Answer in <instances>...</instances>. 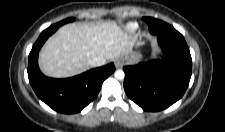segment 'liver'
<instances>
[{
	"mask_svg": "<svg viewBox=\"0 0 225 132\" xmlns=\"http://www.w3.org/2000/svg\"><path fill=\"white\" fill-rule=\"evenodd\" d=\"M134 44L135 39L115 21L70 23L46 41L39 53V66L46 76L71 77L87 71L96 57L107 61L134 53Z\"/></svg>",
	"mask_w": 225,
	"mask_h": 132,
	"instance_id": "liver-1",
	"label": "liver"
}]
</instances>
